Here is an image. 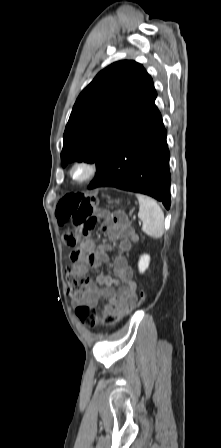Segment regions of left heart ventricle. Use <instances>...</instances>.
<instances>
[{
	"label": "left heart ventricle",
	"instance_id": "b2bd125f",
	"mask_svg": "<svg viewBox=\"0 0 221 448\" xmlns=\"http://www.w3.org/2000/svg\"><path fill=\"white\" fill-rule=\"evenodd\" d=\"M76 175H77V176H83V175H84V171H83V170H78V171L76 172Z\"/></svg>",
	"mask_w": 221,
	"mask_h": 448
}]
</instances>
